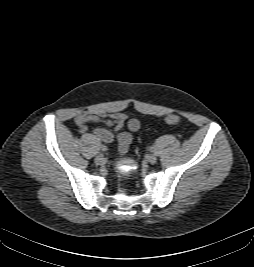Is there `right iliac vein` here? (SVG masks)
<instances>
[{"label": "right iliac vein", "mask_w": 254, "mask_h": 267, "mask_svg": "<svg viewBox=\"0 0 254 267\" xmlns=\"http://www.w3.org/2000/svg\"><path fill=\"white\" fill-rule=\"evenodd\" d=\"M104 160H105L104 155L99 154L95 158V163L99 165V164H102Z\"/></svg>", "instance_id": "1"}]
</instances>
